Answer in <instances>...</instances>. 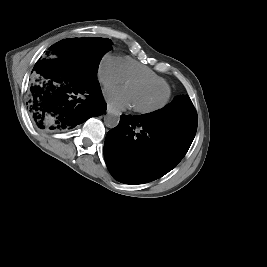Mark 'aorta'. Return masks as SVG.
<instances>
[{
  "instance_id": "1",
  "label": "aorta",
  "mask_w": 267,
  "mask_h": 267,
  "mask_svg": "<svg viewBox=\"0 0 267 267\" xmlns=\"http://www.w3.org/2000/svg\"><path fill=\"white\" fill-rule=\"evenodd\" d=\"M120 121V117L117 113L109 112L104 116V123L109 128H115Z\"/></svg>"
}]
</instances>
